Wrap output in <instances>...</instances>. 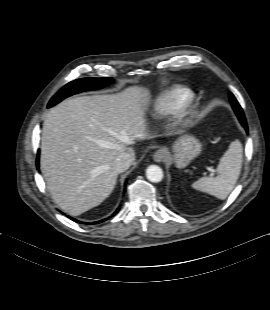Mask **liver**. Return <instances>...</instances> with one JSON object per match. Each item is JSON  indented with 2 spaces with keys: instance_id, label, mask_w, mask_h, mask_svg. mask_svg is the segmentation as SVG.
Segmentation results:
<instances>
[{
  "instance_id": "liver-1",
  "label": "liver",
  "mask_w": 270,
  "mask_h": 310,
  "mask_svg": "<svg viewBox=\"0 0 270 310\" xmlns=\"http://www.w3.org/2000/svg\"><path fill=\"white\" fill-rule=\"evenodd\" d=\"M146 90L68 98L46 115L41 140V171L52 199L78 216L101 204L113 191L116 157L148 137Z\"/></svg>"
}]
</instances>
